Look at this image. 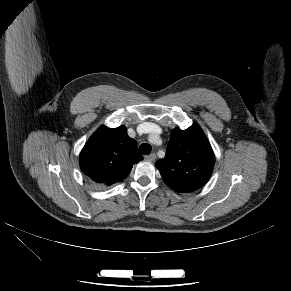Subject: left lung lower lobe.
I'll list each match as a JSON object with an SVG mask.
<instances>
[{
	"instance_id": "left-lung-lower-lobe-1",
	"label": "left lung lower lobe",
	"mask_w": 291,
	"mask_h": 291,
	"mask_svg": "<svg viewBox=\"0 0 291 291\" xmlns=\"http://www.w3.org/2000/svg\"><path fill=\"white\" fill-rule=\"evenodd\" d=\"M170 188L173 189V190L176 191V192H179V193L189 192V191H187V189L182 188V187H177V186H175V187H170Z\"/></svg>"
}]
</instances>
